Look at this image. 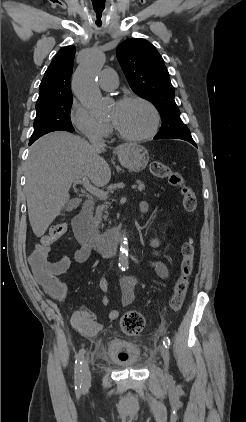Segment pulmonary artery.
I'll use <instances>...</instances> for the list:
<instances>
[{
	"instance_id": "pulmonary-artery-1",
	"label": "pulmonary artery",
	"mask_w": 246,
	"mask_h": 422,
	"mask_svg": "<svg viewBox=\"0 0 246 422\" xmlns=\"http://www.w3.org/2000/svg\"><path fill=\"white\" fill-rule=\"evenodd\" d=\"M99 86L104 90H113L118 85V79L113 69H104L98 78Z\"/></svg>"
}]
</instances>
